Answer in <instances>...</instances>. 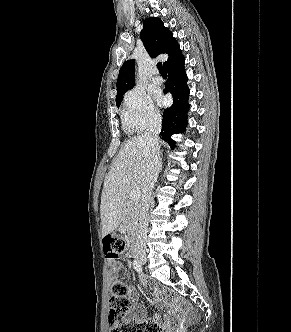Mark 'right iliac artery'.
I'll list each match as a JSON object with an SVG mask.
<instances>
[{
  "label": "right iliac artery",
  "instance_id": "right-iliac-artery-1",
  "mask_svg": "<svg viewBox=\"0 0 291 332\" xmlns=\"http://www.w3.org/2000/svg\"><path fill=\"white\" fill-rule=\"evenodd\" d=\"M133 266H134V269L137 271V272H139V273H141L142 272V266H141V264L137 261V260H134V262H133Z\"/></svg>",
  "mask_w": 291,
  "mask_h": 332
}]
</instances>
